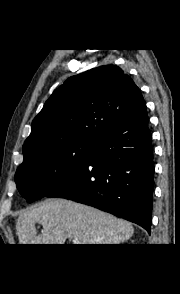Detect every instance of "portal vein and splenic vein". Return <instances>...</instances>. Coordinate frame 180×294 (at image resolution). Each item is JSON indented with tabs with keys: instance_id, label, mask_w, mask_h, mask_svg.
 Here are the masks:
<instances>
[{
	"instance_id": "18ae733b",
	"label": "portal vein and splenic vein",
	"mask_w": 180,
	"mask_h": 294,
	"mask_svg": "<svg viewBox=\"0 0 180 294\" xmlns=\"http://www.w3.org/2000/svg\"><path fill=\"white\" fill-rule=\"evenodd\" d=\"M73 244H81L79 239H73Z\"/></svg>"
}]
</instances>
